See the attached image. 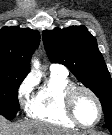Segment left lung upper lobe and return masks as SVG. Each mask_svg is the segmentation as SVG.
<instances>
[{"label":"left lung upper lobe","instance_id":"left-lung-upper-lobe-1","mask_svg":"<svg viewBox=\"0 0 112 135\" xmlns=\"http://www.w3.org/2000/svg\"><path fill=\"white\" fill-rule=\"evenodd\" d=\"M45 50L52 63L65 65L99 98L105 123L112 121V79L96 39L85 26L44 30Z\"/></svg>","mask_w":112,"mask_h":135}]
</instances>
